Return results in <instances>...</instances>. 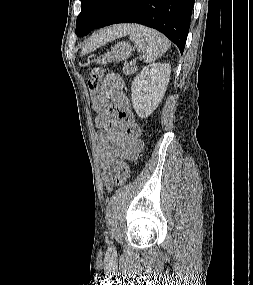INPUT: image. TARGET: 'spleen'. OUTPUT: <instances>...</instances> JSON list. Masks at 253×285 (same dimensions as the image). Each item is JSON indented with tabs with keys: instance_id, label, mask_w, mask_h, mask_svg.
I'll list each match as a JSON object with an SVG mask.
<instances>
[{
	"instance_id": "1",
	"label": "spleen",
	"mask_w": 253,
	"mask_h": 285,
	"mask_svg": "<svg viewBox=\"0 0 253 285\" xmlns=\"http://www.w3.org/2000/svg\"><path fill=\"white\" fill-rule=\"evenodd\" d=\"M128 34L137 51L145 54L146 63L161 57L170 47V41L164 35L142 25H136Z\"/></svg>"
}]
</instances>
